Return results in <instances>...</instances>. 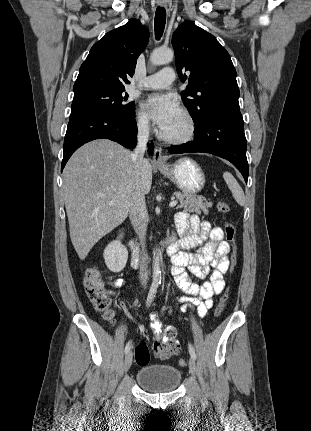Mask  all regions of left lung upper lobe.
I'll return each mask as SVG.
<instances>
[{
    "label": "left lung upper lobe",
    "instance_id": "obj_1",
    "mask_svg": "<svg viewBox=\"0 0 311 431\" xmlns=\"http://www.w3.org/2000/svg\"><path fill=\"white\" fill-rule=\"evenodd\" d=\"M172 45L178 75L188 81L182 100L196 128L218 112L239 110L236 70L213 35L185 21L174 32Z\"/></svg>",
    "mask_w": 311,
    "mask_h": 431
}]
</instances>
